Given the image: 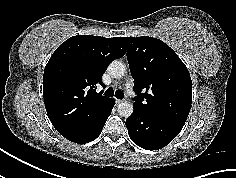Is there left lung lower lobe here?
I'll return each mask as SVG.
<instances>
[{
    "mask_svg": "<svg viewBox=\"0 0 236 178\" xmlns=\"http://www.w3.org/2000/svg\"><path fill=\"white\" fill-rule=\"evenodd\" d=\"M184 125L151 116L135 109L126 120L131 140L146 150H158L171 142Z\"/></svg>",
    "mask_w": 236,
    "mask_h": 178,
    "instance_id": "1",
    "label": "left lung lower lobe"
}]
</instances>
